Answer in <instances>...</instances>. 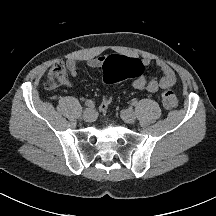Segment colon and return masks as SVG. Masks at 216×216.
<instances>
[{
    "label": "colon",
    "mask_w": 216,
    "mask_h": 216,
    "mask_svg": "<svg viewBox=\"0 0 216 216\" xmlns=\"http://www.w3.org/2000/svg\"><path fill=\"white\" fill-rule=\"evenodd\" d=\"M144 65L135 59L127 57H110L104 65V81L108 85H113L129 78H136L143 74ZM66 79V67L62 61L55 62L50 68L45 87L47 89H55L59 87ZM162 103L166 108H174L177 105V97L175 93L169 89L161 93ZM112 102V94L107 93L101 104V114H106Z\"/></svg>",
    "instance_id": "obj_1"
}]
</instances>
